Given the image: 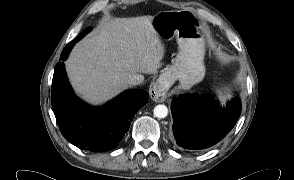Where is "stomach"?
Here are the masks:
<instances>
[{"label": "stomach", "mask_w": 294, "mask_h": 180, "mask_svg": "<svg viewBox=\"0 0 294 180\" xmlns=\"http://www.w3.org/2000/svg\"><path fill=\"white\" fill-rule=\"evenodd\" d=\"M152 26L163 40L175 37L180 49L173 64L165 69L161 86L169 89L178 80L182 89H189L202 81L205 45L195 15L186 10L162 11L153 17Z\"/></svg>", "instance_id": "obj_1"}]
</instances>
